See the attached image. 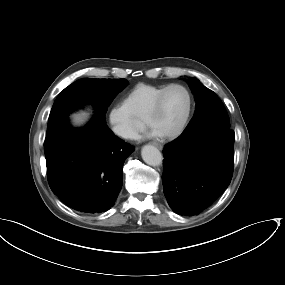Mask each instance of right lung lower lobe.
I'll return each mask as SVG.
<instances>
[{"instance_id": "obj_1", "label": "right lung lower lobe", "mask_w": 285, "mask_h": 285, "mask_svg": "<svg viewBox=\"0 0 285 285\" xmlns=\"http://www.w3.org/2000/svg\"><path fill=\"white\" fill-rule=\"evenodd\" d=\"M134 150L98 115L83 128L66 120L44 142L49 186L76 211L104 212L118 197L124 161Z\"/></svg>"}]
</instances>
